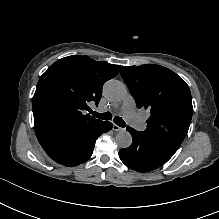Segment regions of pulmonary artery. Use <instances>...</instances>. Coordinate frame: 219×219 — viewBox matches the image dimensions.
<instances>
[{
  "instance_id": "obj_1",
  "label": "pulmonary artery",
  "mask_w": 219,
  "mask_h": 219,
  "mask_svg": "<svg viewBox=\"0 0 219 219\" xmlns=\"http://www.w3.org/2000/svg\"><path fill=\"white\" fill-rule=\"evenodd\" d=\"M122 112L125 118L131 122V126L135 130L143 127V122L139 119V115L135 112V101L131 94H127L122 102Z\"/></svg>"
}]
</instances>
